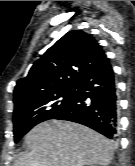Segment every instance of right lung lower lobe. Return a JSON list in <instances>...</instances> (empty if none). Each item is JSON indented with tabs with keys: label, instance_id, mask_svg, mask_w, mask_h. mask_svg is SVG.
<instances>
[{
	"label": "right lung lower lobe",
	"instance_id": "right-lung-lower-lobe-1",
	"mask_svg": "<svg viewBox=\"0 0 135 166\" xmlns=\"http://www.w3.org/2000/svg\"><path fill=\"white\" fill-rule=\"evenodd\" d=\"M75 88L73 102L51 119L77 122L110 139L117 138V89L109 60L83 76Z\"/></svg>",
	"mask_w": 135,
	"mask_h": 166
}]
</instances>
